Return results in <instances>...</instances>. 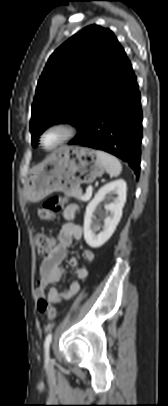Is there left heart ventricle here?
<instances>
[{
    "mask_svg": "<svg viewBox=\"0 0 168 406\" xmlns=\"http://www.w3.org/2000/svg\"><path fill=\"white\" fill-rule=\"evenodd\" d=\"M60 137H61L60 132L51 131V132H49V133H47L45 135L44 140H43L44 145L46 147H51V146L55 145L59 141Z\"/></svg>",
    "mask_w": 168,
    "mask_h": 406,
    "instance_id": "left-heart-ventricle-1",
    "label": "left heart ventricle"
}]
</instances>
